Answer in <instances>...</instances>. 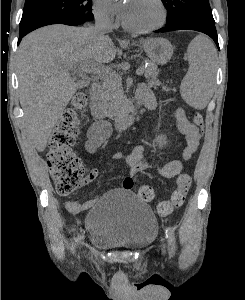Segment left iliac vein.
<instances>
[{
    "label": "left iliac vein",
    "mask_w": 245,
    "mask_h": 300,
    "mask_svg": "<svg viewBox=\"0 0 245 300\" xmlns=\"http://www.w3.org/2000/svg\"><path fill=\"white\" fill-rule=\"evenodd\" d=\"M163 251H165V246H163Z\"/></svg>",
    "instance_id": "1"
}]
</instances>
